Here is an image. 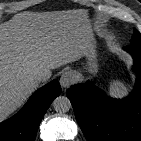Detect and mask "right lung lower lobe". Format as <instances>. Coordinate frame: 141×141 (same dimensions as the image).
Listing matches in <instances>:
<instances>
[{"instance_id":"98d812e1","label":"right lung lower lobe","mask_w":141,"mask_h":141,"mask_svg":"<svg viewBox=\"0 0 141 141\" xmlns=\"http://www.w3.org/2000/svg\"><path fill=\"white\" fill-rule=\"evenodd\" d=\"M60 93L57 80L37 90L15 116L0 123V141H34L44 114Z\"/></svg>"}]
</instances>
